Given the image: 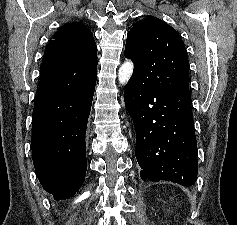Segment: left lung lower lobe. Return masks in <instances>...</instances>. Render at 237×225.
<instances>
[{"mask_svg":"<svg viewBox=\"0 0 237 225\" xmlns=\"http://www.w3.org/2000/svg\"><path fill=\"white\" fill-rule=\"evenodd\" d=\"M124 100L136 129L141 178L193 185L198 167L190 93L141 88L131 77Z\"/></svg>","mask_w":237,"mask_h":225,"instance_id":"1","label":"left lung lower lobe"}]
</instances>
